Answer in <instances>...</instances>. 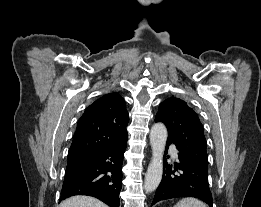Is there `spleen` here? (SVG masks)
Listing matches in <instances>:
<instances>
[{
	"instance_id": "spleen-1",
	"label": "spleen",
	"mask_w": 261,
	"mask_h": 207,
	"mask_svg": "<svg viewBox=\"0 0 261 207\" xmlns=\"http://www.w3.org/2000/svg\"><path fill=\"white\" fill-rule=\"evenodd\" d=\"M174 207H207L202 201L195 198H184Z\"/></svg>"
}]
</instances>
